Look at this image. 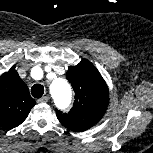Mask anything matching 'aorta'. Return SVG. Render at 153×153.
<instances>
[{
	"label": "aorta",
	"instance_id": "762f6f07",
	"mask_svg": "<svg viewBox=\"0 0 153 153\" xmlns=\"http://www.w3.org/2000/svg\"><path fill=\"white\" fill-rule=\"evenodd\" d=\"M55 102L67 106L71 100V87L65 79L55 77L50 86Z\"/></svg>",
	"mask_w": 153,
	"mask_h": 153
}]
</instances>
